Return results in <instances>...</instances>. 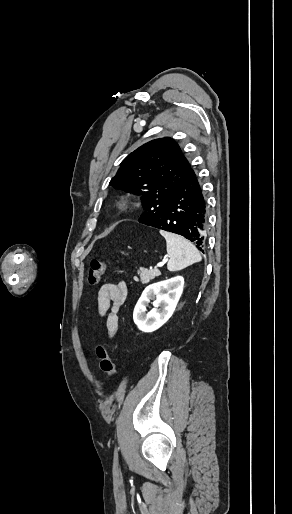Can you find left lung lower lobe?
<instances>
[{
    "label": "left lung lower lobe",
    "mask_w": 292,
    "mask_h": 514,
    "mask_svg": "<svg viewBox=\"0 0 292 514\" xmlns=\"http://www.w3.org/2000/svg\"><path fill=\"white\" fill-rule=\"evenodd\" d=\"M145 225L182 235L204 252L203 248L207 241L206 202L192 168L185 180L163 205L161 213Z\"/></svg>",
    "instance_id": "1"
}]
</instances>
